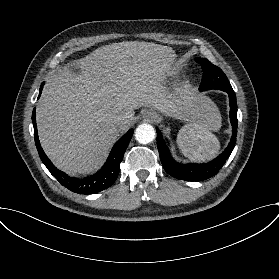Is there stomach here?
<instances>
[{
    "instance_id": "1",
    "label": "stomach",
    "mask_w": 279,
    "mask_h": 279,
    "mask_svg": "<svg viewBox=\"0 0 279 279\" xmlns=\"http://www.w3.org/2000/svg\"><path fill=\"white\" fill-rule=\"evenodd\" d=\"M163 114V113H162ZM163 115H165V114H163ZM160 116V115H159ZM166 116V115H165ZM163 121V117L162 116H160V122H162Z\"/></svg>"
}]
</instances>
